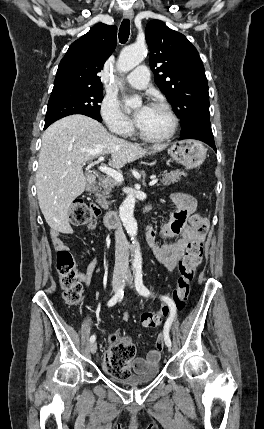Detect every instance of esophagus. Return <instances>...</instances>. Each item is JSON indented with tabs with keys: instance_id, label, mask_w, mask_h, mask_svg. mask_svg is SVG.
Instances as JSON below:
<instances>
[{
	"instance_id": "obj_1",
	"label": "esophagus",
	"mask_w": 264,
	"mask_h": 429,
	"mask_svg": "<svg viewBox=\"0 0 264 429\" xmlns=\"http://www.w3.org/2000/svg\"><path fill=\"white\" fill-rule=\"evenodd\" d=\"M124 17H125L126 19H130V20H132V19H133V17H134V12H133V10H131V9L126 10V11L124 12Z\"/></svg>"
}]
</instances>
